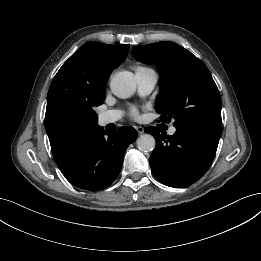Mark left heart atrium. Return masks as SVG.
Masks as SVG:
<instances>
[{"instance_id": "39dd6f15", "label": "left heart atrium", "mask_w": 261, "mask_h": 261, "mask_svg": "<svg viewBox=\"0 0 261 261\" xmlns=\"http://www.w3.org/2000/svg\"><path fill=\"white\" fill-rule=\"evenodd\" d=\"M131 115H132L133 117H137V116H138V111H137L136 108H132V109H131Z\"/></svg>"}]
</instances>
